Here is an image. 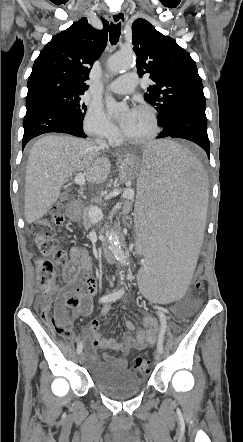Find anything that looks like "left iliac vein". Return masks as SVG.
I'll return each mask as SVG.
<instances>
[{
    "instance_id": "left-iliac-vein-1",
    "label": "left iliac vein",
    "mask_w": 243,
    "mask_h": 442,
    "mask_svg": "<svg viewBox=\"0 0 243 442\" xmlns=\"http://www.w3.org/2000/svg\"><path fill=\"white\" fill-rule=\"evenodd\" d=\"M154 358H155L156 361H160V359H161V352H159L158 350L155 351Z\"/></svg>"
}]
</instances>
